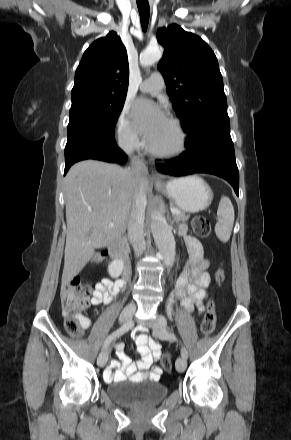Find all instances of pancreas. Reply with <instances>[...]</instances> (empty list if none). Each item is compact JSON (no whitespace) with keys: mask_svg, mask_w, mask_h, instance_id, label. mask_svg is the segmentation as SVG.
<instances>
[{"mask_svg":"<svg viewBox=\"0 0 291 440\" xmlns=\"http://www.w3.org/2000/svg\"><path fill=\"white\" fill-rule=\"evenodd\" d=\"M179 211H180V214L173 215L174 221L177 223L187 221L188 216L183 211H181V210H179Z\"/></svg>","mask_w":291,"mask_h":440,"instance_id":"pancreas-1","label":"pancreas"}]
</instances>
